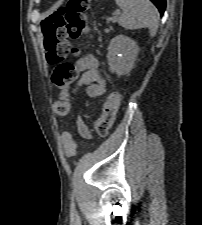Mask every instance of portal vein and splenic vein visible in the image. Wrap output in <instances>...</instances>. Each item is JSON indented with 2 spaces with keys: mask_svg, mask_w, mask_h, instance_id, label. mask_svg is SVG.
Masks as SVG:
<instances>
[{
  "mask_svg": "<svg viewBox=\"0 0 202 225\" xmlns=\"http://www.w3.org/2000/svg\"><path fill=\"white\" fill-rule=\"evenodd\" d=\"M119 14H120V10H117V11L115 12L114 16L111 17V18H109V20L115 22V21H116V16H118Z\"/></svg>",
  "mask_w": 202,
  "mask_h": 225,
  "instance_id": "obj_1",
  "label": "portal vein and splenic vein"
}]
</instances>
